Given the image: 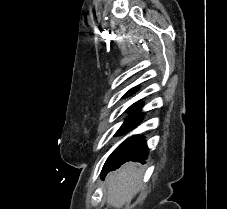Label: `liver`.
Returning <instances> with one entry per match:
<instances>
[{"instance_id": "6515ba94", "label": "liver", "mask_w": 227, "mask_h": 209, "mask_svg": "<svg viewBox=\"0 0 227 209\" xmlns=\"http://www.w3.org/2000/svg\"><path fill=\"white\" fill-rule=\"evenodd\" d=\"M142 187V171L135 163H126L120 171L109 173L107 177V205L122 209Z\"/></svg>"}]
</instances>
